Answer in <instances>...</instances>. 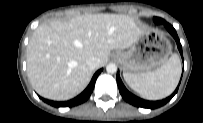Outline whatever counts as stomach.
Returning a JSON list of instances; mask_svg holds the SVG:
<instances>
[{
    "instance_id": "stomach-1",
    "label": "stomach",
    "mask_w": 203,
    "mask_h": 123,
    "mask_svg": "<svg viewBox=\"0 0 203 123\" xmlns=\"http://www.w3.org/2000/svg\"><path fill=\"white\" fill-rule=\"evenodd\" d=\"M171 50V43L164 34L148 30L135 40L129 50L116 52L114 58L124 72L140 74L164 65Z\"/></svg>"
}]
</instances>
